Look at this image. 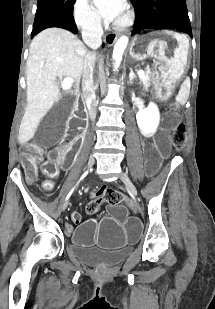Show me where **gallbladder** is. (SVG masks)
<instances>
[{
	"label": "gallbladder",
	"instance_id": "obj_1",
	"mask_svg": "<svg viewBox=\"0 0 215 309\" xmlns=\"http://www.w3.org/2000/svg\"><path fill=\"white\" fill-rule=\"evenodd\" d=\"M75 102L74 94L66 92L48 115H44L41 125L34 131L39 148H54V144H58L59 136L63 134L66 118L70 116Z\"/></svg>",
	"mask_w": 215,
	"mask_h": 309
}]
</instances>
